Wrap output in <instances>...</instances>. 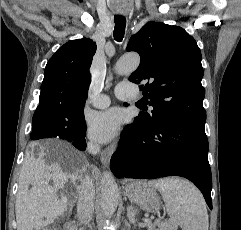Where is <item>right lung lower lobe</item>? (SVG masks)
Instances as JSON below:
<instances>
[{
  "instance_id": "98d812e1",
  "label": "right lung lower lobe",
  "mask_w": 241,
  "mask_h": 230,
  "mask_svg": "<svg viewBox=\"0 0 241 230\" xmlns=\"http://www.w3.org/2000/svg\"><path fill=\"white\" fill-rule=\"evenodd\" d=\"M40 114L42 113H39V114H36V112L34 113V115H40ZM32 131H35V127L32 128ZM52 135H56V137H58L59 134L53 133ZM84 137L76 138L75 136H71V137L64 136L63 140L71 142L77 149L84 151L86 149V141Z\"/></svg>"
}]
</instances>
